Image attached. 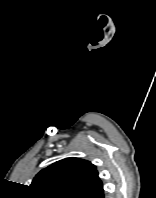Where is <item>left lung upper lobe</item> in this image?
I'll return each mask as SVG.
<instances>
[{"label":"left lung upper lobe","instance_id":"obj_1","mask_svg":"<svg viewBox=\"0 0 156 198\" xmlns=\"http://www.w3.org/2000/svg\"><path fill=\"white\" fill-rule=\"evenodd\" d=\"M30 188L37 198H100L103 194L96 167L79 158H66L41 170Z\"/></svg>","mask_w":156,"mask_h":198}]
</instances>
